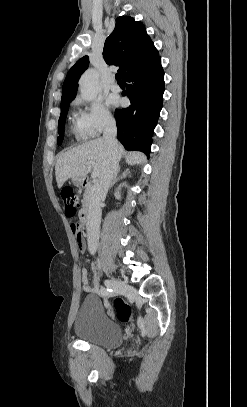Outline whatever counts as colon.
<instances>
[{"label": "colon", "instance_id": "1", "mask_svg": "<svg viewBox=\"0 0 247 407\" xmlns=\"http://www.w3.org/2000/svg\"><path fill=\"white\" fill-rule=\"evenodd\" d=\"M62 201L64 203L65 215L72 217L76 213L78 207V197L70 186L63 187L60 192ZM72 230L75 234L79 232V226L74 223ZM114 309L116 316L122 322H129L132 320V310L129 304L122 298L118 297L114 301Z\"/></svg>", "mask_w": 247, "mask_h": 407}]
</instances>
